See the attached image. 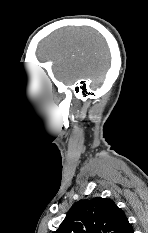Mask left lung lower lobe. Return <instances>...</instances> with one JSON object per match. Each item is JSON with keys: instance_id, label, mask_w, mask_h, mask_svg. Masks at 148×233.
Segmentation results:
<instances>
[{"instance_id": "0a47b994", "label": "left lung lower lobe", "mask_w": 148, "mask_h": 233, "mask_svg": "<svg viewBox=\"0 0 148 233\" xmlns=\"http://www.w3.org/2000/svg\"><path fill=\"white\" fill-rule=\"evenodd\" d=\"M126 233H133V228H129Z\"/></svg>"}]
</instances>
